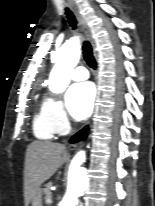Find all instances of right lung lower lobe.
Listing matches in <instances>:
<instances>
[{"instance_id": "obj_1", "label": "right lung lower lobe", "mask_w": 155, "mask_h": 206, "mask_svg": "<svg viewBox=\"0 0 155 206\" xmlns=\"http://www.w3.org/2000/svg\"><path fill=\"white\" fill-rule=\"evenodd\" d=\"M87 133H88V127L86 126L83 130L79 131L71 138V142L72 143L78 142L81 138H85L87 136Z\"/></svg>"}]
</instances>
